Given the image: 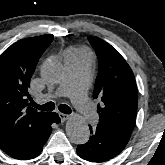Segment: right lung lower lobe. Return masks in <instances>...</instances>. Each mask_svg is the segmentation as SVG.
<instances>
[{"mask_svg":"<svg viewBox=\"0 0 165 165\" xmlns=\"http://www.w3.org/2000/svg\"><path fill=\"white\" fill-rule=\"evenodd\" d=\"M59 122L60 118L57 113H48L38 125L16 134L0 148L15 159L28 160L35 158L40 154L51 134V125Z\"/></svg>","mask_w":165,"mask_h":165,"instance_id":"98d812e1","label":"right lung lower lobe"}]
</instances>
